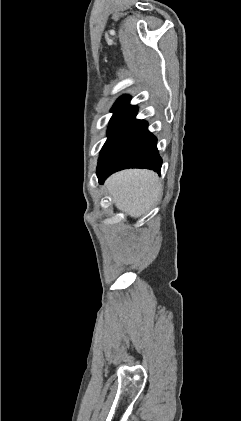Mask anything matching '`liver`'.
I'll list each match as a JSON object with an SVG mask.
<instances>
[{
	"label": "liver",
	"mask_w": 241,
	"mask_h": 421,
	"mask_svg": "<svg viewBox=\"0 0 241 421\" xmlns=\"http://www.w3.org/2000/svg\"><path fill=\"white\" fill-rule=\"evenodd\" d=\"M106 188L115 206L133 218L148 212L161 191L158 175L140 169L113 174L107 180Z\"/></svg>",
	"instance_id": "liver-1"
}]
</instances>
